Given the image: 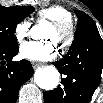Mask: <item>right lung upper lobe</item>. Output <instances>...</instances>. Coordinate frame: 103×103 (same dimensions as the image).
I'll list each match as a JSON object with an SVG mask.
<instances>
[{
  "label": "right lung upper lobe",
  "mask_w": 103,
  "mask_h": 103,
  "mask_svg": "<svg viewBox=\"0 0 103 103\" xmlns=\"http://www.w3.org/2000/svg\"><path fill=\"white\" fill-rule=\"evenodd\" d=\"M23 6H14V7H10L11 9H21Z\"/></svg>",
  "instance_id": "obj_1"
}]
</instances>
